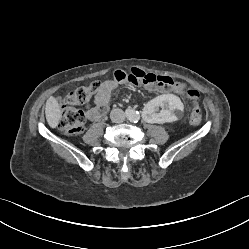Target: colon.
<instances>
[{
	"label": "colon",
	"instance_id": "colon-1",
	"mask_svg": "<svg viewBox=\"0 0 249 249\" xmlns=\"http://www.w3.org/2000/svg\"><path fill=\"white\" fill-rule=\"evenodd\" d=\"M167 82H171V78L166 79ZM165 81L153 74L145 73L140 86L156 89ZM183 87V83H178ZM102 83L93 82L88 86L79 87L69 91L65 96L59 98V104L61 106V117L59 120V129L66 136H76L83 132L85 127V117L81 110L77 109V105L86 103L89 98L96 94L101 89ZM187 97L191 102V114L190 122L193 125H199L202 122V114L198 106L199 93L197 90L189 88L185 91Z\"/></svg>",
	"mask_w": 249,
	"mask_h": 249
}]
</instances>
